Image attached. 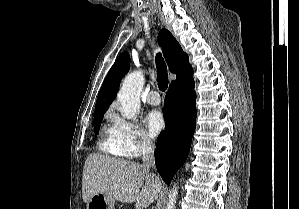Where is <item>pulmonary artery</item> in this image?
Segmentation results:
<instances>
[{
	"label": "pulmonary artery",
	"instance_id": "e3ab8cb5",
	"mask_svg": "<svg viewBox=\"0 0 299 209\" xmlns=\"http://www.w3.org/2000/svg\"><path fill=\"white\" fill-rule=\"evenodd\" d=\"M146 100L149 104L154 106L159 105L161 103V98L156 90L150 91L146 96Z\"/></svg>",
	"mask_w": 299,
	"mask_h": 209
}]
</instances>
